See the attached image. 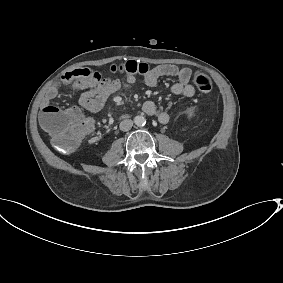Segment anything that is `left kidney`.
<instances>
[{"mask_svg":"<svg viewBox=\"0 0 283 283\" xmlns=\"http://www.w3.org/2000/svg\"><path fill=\"white\" fill-rule=\"evenodd\" d=\"M186 112H187V114H188V118H191V117L194 116V111H193L191 108L187 109Z\"/></svg>","mask_w":283,"mask_h":283,"instance_id":"5707ae66","label":"left kidney"}]
</instances>
